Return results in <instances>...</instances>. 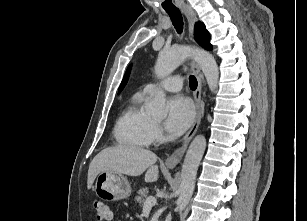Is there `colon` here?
<instances>
[{"mask_svg": "<svg viewBox=\"0 0 307 221\" xmlns=\"http://www.w3.org/2000/svg\"><path fill=\"white\" fill-rule=\"evenodd\" d=\"M96 210V217L99 221H106L112 218V211L110 206L104 201H96L94 203Z\"/></svg>", "mask_w": 307, "mask_h": 221, "instance_id": "obj_1", "label": "colon"}]
</instances>
